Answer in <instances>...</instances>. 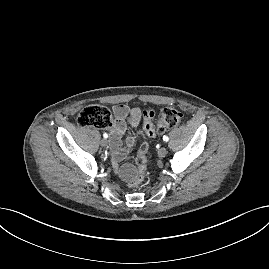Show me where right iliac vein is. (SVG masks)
Returning <instances> with one entry per match:
<instances>
[{
  "instance_id": "right-iliac-vein-1",
  "label": "right iliac vein",
  "mask_w": 269,
  "mask_h": 269,
  "mask_svg": "<svg viewBox=\"0 0 269 269\" xmlns=\"http://www.w3.org/2000/svg\"><path fill=\"white\" fill-rule=\"evenodd\" d=\"M100 144L102 147H106L108 145V141L106 139H102Z\"/></svg>"
}]
</instances>
